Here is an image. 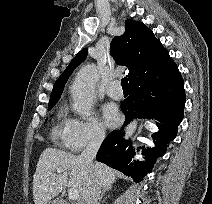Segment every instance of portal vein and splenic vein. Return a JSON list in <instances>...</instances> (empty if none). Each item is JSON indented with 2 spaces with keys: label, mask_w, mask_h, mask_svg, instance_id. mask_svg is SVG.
<instances>
[{
  "label": "portal vein and splenic vein",
  "mask_w": 212,
  "mask_h": 204,
  "mask_svg": "<svg viewBox=\"0 0 212 204\" xmlns=\"http://www.w3.org/2000/svg\"><path fill=\"white\" fill-rule=\"evenodd\" d=\"M57 173H63L62 169H57ZM68 197L69 199L76 201L79 199V192L77 189H69L68 190Z\"/></svg>",
  "instance_id": "portal-vein-and-splenic-vein-1"
}]
</instances>
